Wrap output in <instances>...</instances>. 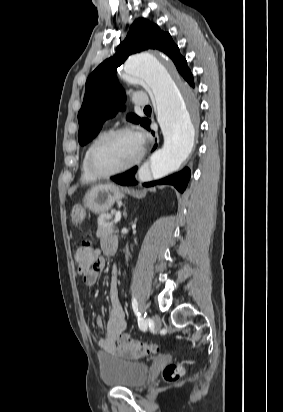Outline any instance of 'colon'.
I'll list each match as a JSON object with an SVG mask.
<instances>
[{
  "mask_svg": "<svg viewBox=\"0 0 283 412\" xmlns=\"http://www.w3.org/2000/svg\"><path fill=\"white\" fill-rule=\"evenodd\" d=\"M75 258L77 262V270L80 274L85 275L92 267L99 264L100 260L97 251L94 249L92 242L88 239L84 240L80 247L76 250ZM120 350L126 356L144 357L156 351V346L153 344H145L136 341L129 336H121L118 341ZM185 372V368L180 363L168 364L163 376L166 381L174 382L179 380Z\"/></svg>",
  "mask_w": 283,
  "mask_h": 412,
  "instance_id": "obj_1",
  "label": "colon"
}]
</instances>
